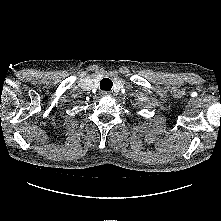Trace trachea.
<instances>
[{"instance_id": "3493384b", "label": "trachea", "mask_w": 221, "mask_h": 221, "mask_svg": "<svg viewBox=\"0 0 221 221\" xmlns=\"http://www.w3.org/2000/svg\"><path fill=\"white\" fill-rule=\"evenodd\" d=\"M112 86H113V82L109 78H103L100 81V89L101 90L110 91Z\"/></svg>"}]
</instances>
